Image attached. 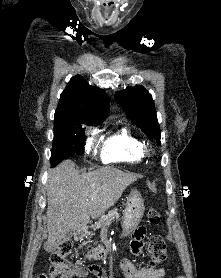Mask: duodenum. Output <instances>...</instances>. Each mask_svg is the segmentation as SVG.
<instances>
[{
    "label": "duodenum",
    "mask_w": 221,
    "mask_h": 278,
    "mask_svg": "<svg viewBox=\"0 0 221 278\" xmlns=\"http://www.w3.org/2000/svg\"><path fill=\"white\" fill-rule=\"evenodd\" d=\"M85 236V230H80L75 234V239L76 240H82ZM109 249L107 246H101V247H97L93 253H92V257L94 259H101L105 256L108 255Z\"/></svg>",
    "instance_id": "1"
}]
</instances>
